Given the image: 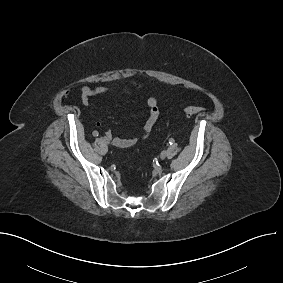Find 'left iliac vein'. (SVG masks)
<instances>
[{
	"instance_id": "obj_1",
	"label": "left iliac vein",
	"mask_w": 283,
	"mask_h": 283,
	"mask_svg": "<svg viewBox=\"0 0 283 283\" xmlns=\"http://www.w3.org/2000/svg\"><path fill=\"white\" fill-rule=\"evenodd\" d=\"M166 156H167V151H162L161 153H160V159H165L166 158Z\"/></svg>"
}]
</instances>
